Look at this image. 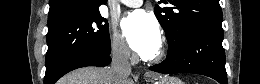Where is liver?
I'll use <instances>...</instances> for the list:
<instances>
[{"label":"liver","mask_w":260,"mask_h":84,"mask_svg":"<svg viewBox=\"0 0 260 84\" xmlns=\"http://www.w3.org/2000/svg\"><path fill=\"white\" fill-rule=\"evenodd\" d=\"M59 84H133V81L128 78L121 80L107 67H84L65 75Z\"/></svg>","instance_id":"1"}]
</instances>
